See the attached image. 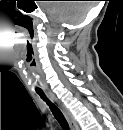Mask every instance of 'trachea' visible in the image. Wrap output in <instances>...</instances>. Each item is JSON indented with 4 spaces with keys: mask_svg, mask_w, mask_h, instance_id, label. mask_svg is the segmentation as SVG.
Listing matches in <instances>:
<instances>
[{
    "mask_svg": "<svg viewBox=\"0 0 123 130\" xmlns=\"http://www.w3.org/2000/svg\"><path fill=\"white\" fill-rule=\"evenodd\" d=\"M40 95V97L49 105L55 119L59 122V124L63 127V129L65 130H69V126L68 123L64 117V115L62 114V112L59 110V108L57 106H55L54 104H52L47 97L44 95V93H38Z\"/></svg>",
    "mask_w": 123,
    "mask_h": 130,
    "instance_id": "trachea-1",
    "label": "trachea"
}]
</instances>
